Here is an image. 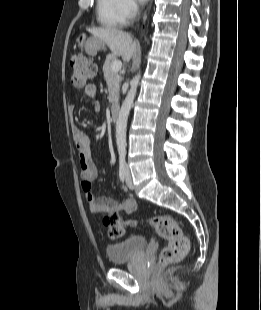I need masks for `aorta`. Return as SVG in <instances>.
Listing matches in <instances>:
<instances>
[{
  "label": "aorta",
  "mask_w": 261,
  "mask_h": 310,
  "mask_svg": "<svg viewBox=\"0 0 261 310\" xmlns=\"http://www.w3.org/2000/svg\"><path fill=\"white\" fill-rule=\"evenodd\" d=\"M140 73H138L131 80V88L122 103L121 109L116 122V144L119 155H125L126 153V130H127V120L130 110L133 106L134 99L137 92V87L140 81Z\"/></svg>",
  "instance_id": "762f6f07"
}]
</instances>
